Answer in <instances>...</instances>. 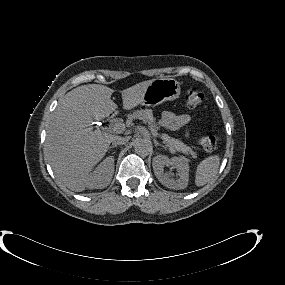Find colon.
<instances>
[{"mask_svg":"<svg viewBox=\"0 0 285 285\" xmlns=\"http://www.w3.org/2000/svg\"><path fill=\"white\" fill-rule=\"evenodd\" d=\"M204 99L202 92L196 89H189L186 95V102L190 108H196ZM199 143L201 147L209 153L215 152L217 149V140L212 134H204L200 137Z\"/></svg>","mask_w":285,"mask_h":285,"instance_id":"obj_1","label":"colon"}]
</instances>
